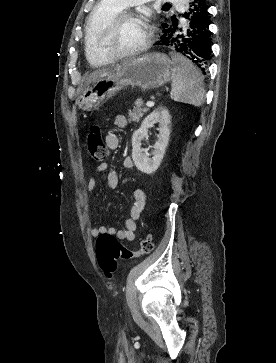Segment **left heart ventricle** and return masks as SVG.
<instances>
[{
	"label": "left heart ventricle",
	"instance_id": "1",
	"mask_svg": "<svg viewBox=\"0 0 276 363\" xmlns=\"http://www.w3.org/2000/svg\"><path fill=\"white\" fill-rule=\"evenodd\" d=\"M147 35V26L143 19L135 17L122 22L115 35L110 39V46L118 52L129 51L140 45Z\"/></svg>",
	"mask_w": 276,
	"mask_h": 363
}]
</instances>
